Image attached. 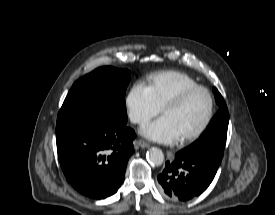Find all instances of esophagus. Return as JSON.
<instances>
[{"mask_svg":"<svg viewBox=\"0 0 275 215\" xmlns=\"http://www.w3.org/2000/svg\"><path fill=\"white\" fill-rule=\"evenodd\" d=\"M136 143L141 148H148L149 147V144L146 141L142 140V139L137 140Z\"/></svg>","mask_w":275,"mask_h":215,"instance_id":"obj_1","label":"esophagus"}]
</instances>
